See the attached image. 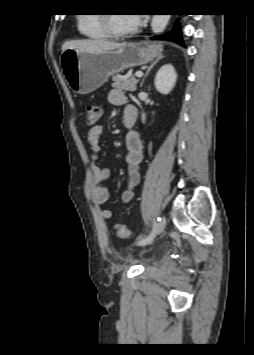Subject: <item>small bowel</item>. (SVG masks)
Wrapping results in <instances>:
<instances>
[{
    "label": "small bowel",
    "instance_id": "1",
    "mask_svg": "<svg viewBox=\"0 0 254 355\" xmlns=\"http://www.w3.org/2000/svg\"><path fill=\"white\" fill-rule=\"evenodd\" d=\"M108 101L115 106H125L123 120L132 121L135 123L138 117L137 108L127 103V98L124 92L118 88H114L109 92ZM132 128V127H131ZM126 135V166L128 170L127 189L123 191L121 199L124 203H129L134 196L133 189L140 182L139 168L144 156V141L140 133L131 130ZM103 133V127L101 125L93 126L87 133V141L90 147L91 158V191L93 199L96 204L102 206L106 203L109 197L108 190L103 186V182L107 180L111 175V170L108 167H101L96 162L102 151L100 143V136ZM101 217L104 220H110L112 218V212L109 208L103 207L101 209Z\"/></svg>",
    "mask_w": 254,
    "mask_h": 355
}]
</instances>
